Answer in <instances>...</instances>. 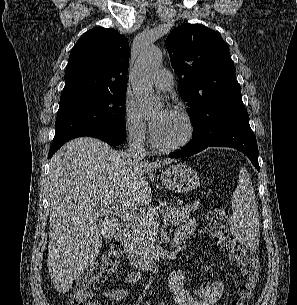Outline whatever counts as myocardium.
I'll return each instance as SVG.
<instances>
[{
	"instance_id": "1",
	"label": "myocardium",
	"mask_w": 297,
	"mask_h": 305,
	"mask_svg": "<svg viewBox=\"0 0 297 305\" xmlns=\"http://www.w3.org/2000/svg\"><path fill=\"white\" fill-rule=\"evenodd\" d=\"M172 113L178 115L185 123L186 126V133L184 135V137L179 140L178 142L171 144V145H161L159 144L154 136H153V132L151 134V145L152 147L161 153H172L175 151H178L182 148H184L185 146H187L193 139L194 135H195V124L194 121L191 117V115L186 112L185 110L182 109H173Z\"/></svg>"
}]
</instances>
